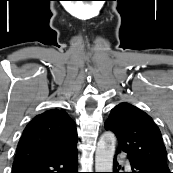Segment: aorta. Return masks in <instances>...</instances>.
<instances>
[{"label":"aorta","mask_w":173,"mask_h":173,"mask_svg":"<svg viewBox=\"0 0 173 173\" xmlns=\"http://www.w3.org/2000/svg\"><path fill=\"white\" fill-rule=\"evenodd\" d=\"M116 138L112 132H105L97 143L95 153L96 172H112Z\"/></svg>","instance_id":"obj_1"}]
</instances>
